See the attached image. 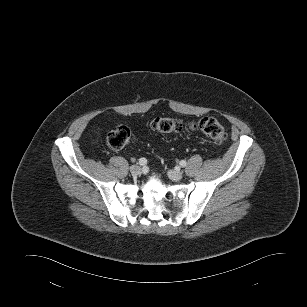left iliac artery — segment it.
Here are the masks:
<instances>
[{
    "label": "left iliac artery",
    "instance_id": "1",
    "mask_svg": "<svg viewBox=\"0 0 307 307\" xmlns=\"http://www.w3.org/2000/svg\"><path fill=\"white\" fill-rule=\"evenodd\" d=\"M180 165H181L182 167H185V166L187 165V163H186V161L181 160V161H180Z\"/></svg>",
    "mask_w": 307,
    "mask_h": 307
}]
</instances>
